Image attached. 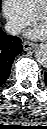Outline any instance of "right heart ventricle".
Instances as JSON below:
<instances>
[{"label":"right heart ventricle","mask_w":47,"mask_h":129,"mask_svg":"<svg viewBox=\"0 0 47 129\" xmlns=\"http://www.w3.org/2000/svg\"><path fill=\"white\" fill-rule=\"evenodd\" d=\"M44 1L45 0H21V2L28 9V11L33 15L42 6Z\"/></svg>","instance_id":"obj_1"}]
</instances>
